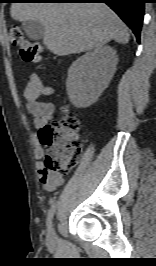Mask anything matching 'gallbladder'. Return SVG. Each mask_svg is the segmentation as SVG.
I'll return each instance as SVG.
<instances>
[{
	"label": "gallbladder",
	"instance_id": "obj_1",
	"mask_svg": "<svg viewBox=\"0 0 156 266\" xmlns=\"http://www.w3.org/2000/svg\"><path fill=\"white\" fill-rule=\"evenodd\" d=\"M22 28L26 35L33 40H40L44 37V26L36 20H29L22 24Z\"/></svg>",
	"mask_w": 156,
	"mask_h": 266
}]
</instances>
